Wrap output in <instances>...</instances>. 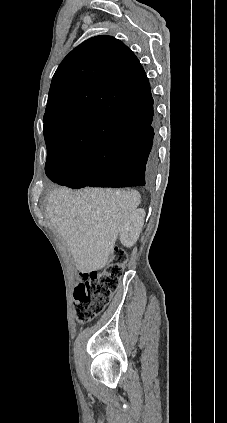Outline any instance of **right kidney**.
I'll use <instances>...</instances> for the list:
<instances>
[{"label":"right kidney","mask_w":227,"mask_h":423,"mask_svg":"<svg viewBox=\"0 0 227 423\" xmlns=\"http://www.w3.org/2000/svg\"><path fill=\"white\" fill-rule=\"evenodd\" d=\"M145 210L131 211L120 229V241L126 247H132L136 243L143 227Z\"/></svg>","instance_id":"ca27d5eb"}]
</instances>
